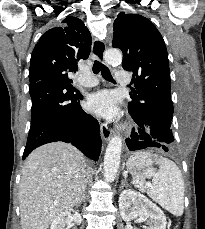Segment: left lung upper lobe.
<instances>
[{"label": "left lung upper lobe", "mask_w": 205, "mask_h": 229, "mask_svg": "<svg viewBox=\"0 0 205 229\" xmlns=\"http://www.w3.org/2000/svg\"><path fill=\"white\" fill-rule=\"evenodd\" d=\"M112 46L123 52L122 67L133 72L132 82L137 91L130 93L128 109L171 130L173 103L169 60L157 28L141 15L121 12L114 21ZM173 141L167 142V146Z\"/></svg>", "instance_id": "5c2ea615"}]
</instances>
